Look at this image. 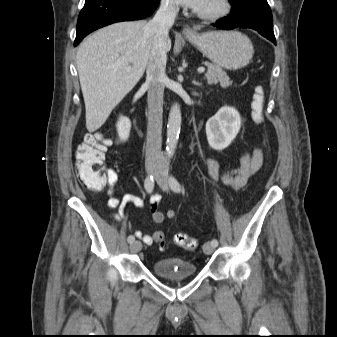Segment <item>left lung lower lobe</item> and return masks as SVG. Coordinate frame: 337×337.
Segmentation results:
<instances>
[{"mask_svg":"<svg viewBox=\"0 0 337 337\" xmlns=\"http://www.w3.org/2000/svg\"><path fill=\"white\" fill-rule=\"evenodd\" d=\"M213 26L225 30L237 27L250 28L276 44L270 7L259 1H252L235 11H231L227 17L218 20Z\"/></svg>","mask_w":337,"mask_h":337,"instance_id":"1","label":"left lung lower lobe"}]
</instances>
